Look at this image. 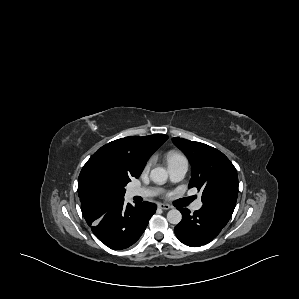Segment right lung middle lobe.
I'll use <instances>...</instances> for the list:
<instances>
[{
    "instance_id": "right-lung-middle-lobe-1",
    "label": "right lung middle lobe",
    "mask_w": 299,
    "mask_h": 299,
    "mask_svg": "<svg viewBox=\"0 0 299 299\" xmlns=\"http://www.w3.org/2000/svg\"><path fill=\"white\" fill-rule=\"evenodd\" d=\"M131 180L101 158L89 159L78 182L82 190L103 198L123 199L125 186Z\"/></svg>"
}]
</instances>
